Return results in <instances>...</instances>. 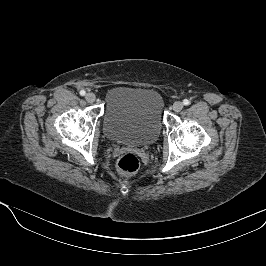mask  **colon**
Listing matches in <instances>:
<instances>
[{"instance_id":"1","label":"colon","mask_w":266,"mask_h":266,"mask_svg":"<svg viewBox=\"0 0 266 266\" xmlns=\"http://www.w3.org/2000/svg\"><path fill=\"white\" fill-rule=\"evenodd\" d=\"M140 159L134 152L123 154L117 161V170L122 175H132L138 171Z\"/></svg>"}]
</instances>
